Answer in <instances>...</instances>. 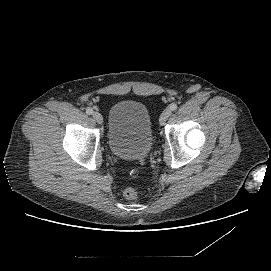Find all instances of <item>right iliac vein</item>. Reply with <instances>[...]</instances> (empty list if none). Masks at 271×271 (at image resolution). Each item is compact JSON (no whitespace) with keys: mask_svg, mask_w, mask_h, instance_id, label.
Wrapping results in <instances>:
<instances>
[{"mask_svg":"<svg viewBox=\"0 0 271 271\" xmlns=\"http://www.w3.org/2000/svg\"><path fill=\"white\" fill-rule=\"evenodd\" d=\"M93 119L98 123L102 124L103 123V117L99 112H94L93 113Z\"/></svg>","mask_w":271,"mask_h":271,"instance_id":"1","label":"right iliac vein"}]
</instances>
